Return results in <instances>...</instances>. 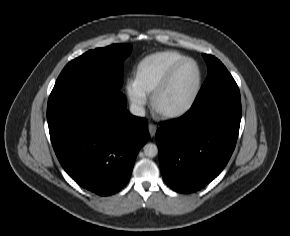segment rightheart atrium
<instances>
[{"mask_svg":"<svg viewBox=\"0 0 290 236\" xmlns=\"http://www.w3.org/2000/svg\"><path fill=\"white\" fill-rule=\"evenodd\" d=\"M126 94L133 108L142 112L147 104V93L131 80L126 84Z\"/></svg>","mask_w":290,"mask_h":236,"instance_id":"d8ad5b80","label":"right heart atrium"}]
</instances>
